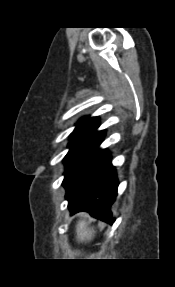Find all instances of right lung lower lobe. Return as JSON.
I'll use <instances>...</instances> for the list:
<instances>
[{"mask_svg": "<svg viewBox=\"0 0 175 287\" xmlns=\"http://www.w3.org/2000/svg\"><path fill=\"white\" fill-rule=\"evenodd\" d=\"M106 150L97 148L64 179L68 207L73 213L87 211L91 216L112 222L111 205L116 199L118 180Z\"/></svg>", "mask_w": 175, "mask_h": 287, "instance_id": "right-lung-lower-lobe-1", "label": "right lung lower lobe"}]
</instances>
